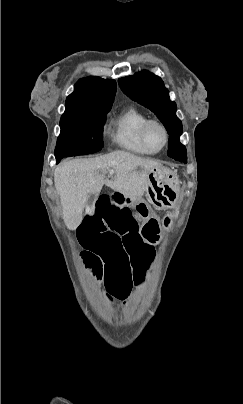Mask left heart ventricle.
Instances as JSON below:
<instances>
[{
	"label": "left heart ventricle",
	"mask_w": 243,
	"mask_h": 404,
	"mask_svg": "<svg viewBox=\"0 0 243 404\" xmlns=\"http://www.w3.org/2000/svg\"><path fill=\"white\" fill-rule=\"evenodd\" d=\"M146 135L154 148H159L163 145L165 139L164 133L158 125H150L146 131Z\"/></svg>",
	"instance_id": "1"
}]
</instances>
